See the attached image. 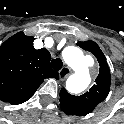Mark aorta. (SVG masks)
I'll list each match as a JSON object with an SVG mask.
<instances>
[{"instance_id":"762f6f07","label":"aorta","mask_w":124,"mask_h":124,"mask_svg":"<svg viewBox=\"0 0 124 124\" xmlns=\"http://www.w3.org/2000/svg\"><path fill=\"white\" fill-rule=\"evenodd\" d=\"M62 57L74 71L66 81L68 91L77 94L87 89L91 83V77L82 50L76 46H68L63 50Z\"/></svg>"}]
</instances>
